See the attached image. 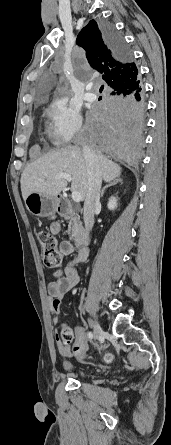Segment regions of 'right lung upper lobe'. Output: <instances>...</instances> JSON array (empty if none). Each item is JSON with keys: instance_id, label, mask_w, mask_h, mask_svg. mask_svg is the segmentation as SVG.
<instances>
[{"instance_id": "right-lung-upper-lobe-1", "label": "right lung upper lobe", "mask_w": 171, "mask_h": 445, "mask_svg": "<svg viewBox=\"0 0 171 445\" xmlns=\"http://www.w3.org/2000/svg\"><path fill=\"white\" fill-rule=\"evenodd\" d=\"M76 43L85 49L89 64L102 73L103 80L111 90L140 79L131 56L126 62L118 59L107 44L100 26L94 20L80 31Z\"/></svg>"}]
</instances>
